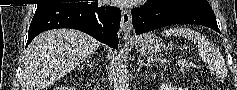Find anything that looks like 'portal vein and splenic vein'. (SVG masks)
<instances>
[{
    "mask_svg": "<svg viewBox=\"0 0 237 90\" xmlns=\"http://www.w3.org/2000/svg\"><path fill=\"white\" fill-rule=\"evenodd\" d=\"M179 64H181V66H182L181 70H184V68H186V66H188L187 62H179Z\"/></svg>",
    "mask_w": 237,
    "mask_h": 90,
    "instance_id": "obj_1",
    "label": "portal vein and splenic vein"
}]
</instances>
